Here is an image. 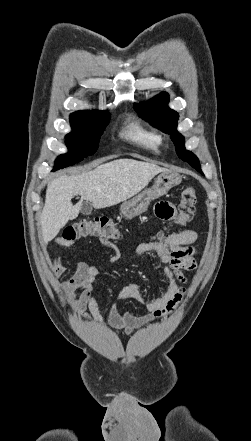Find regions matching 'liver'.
I'll return each instance as SVG.
<instances>
[{
  "label": "liver",
  "mask_w": 251,
  "mask_h": 441,
  "mask_svg": "<svg viewBox=\"0 0 251 441\" xmlns=\"http://www.w3.org/2000/svg\"><path fill=\"white\" fill-rule=\"evenodd\" d=\"M154 163L134 159H116L76 176H61L50 182L46 189L45 205L41 214V228L45 244L78 217L81 202L71 200L80 195L94 208L101 209L119 204L144 189L158 173L166 171Z\"/></svg>",
  "instance_id": "liver-1"
}]
</instances>
